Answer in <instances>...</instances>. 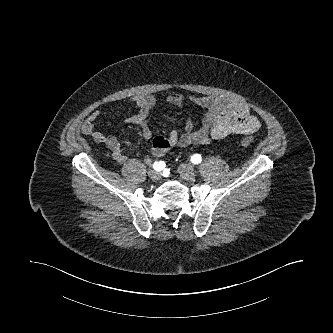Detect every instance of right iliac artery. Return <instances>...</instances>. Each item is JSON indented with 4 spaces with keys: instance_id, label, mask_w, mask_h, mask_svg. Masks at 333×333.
Returning a JSON list of instances; mask_svg holds the SVG:
<instances>
[{
    "instance_id": "right-iliac-artery-1",
    "label": "right iliac artery",
    "mask_w": 333,
    "mask_h": 333,
    "mask_svg": "<svg viewBox=\"0 0 333 333\" xmlns=\"http://www.w3.org/2000/svg\"><path fill=\"white\" fill-rule=\"evenodd\" d=\"M162 167H163V162H154L153 164V168L155 170H161Z\"/></svg>"
}]
</instances>
